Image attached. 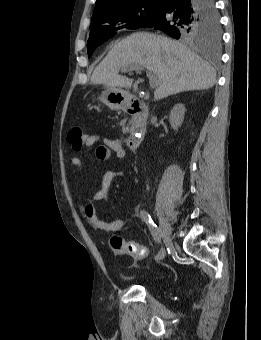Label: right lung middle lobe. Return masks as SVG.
<instances>
[{
	"label": "right lung middle lobe",
	"instance_id": "right-lung-middle-lobe-1",
	"mask_svg": "<svg viewBox=\"0 0 261 340\" xmlns=\"http://www.w3.org/2000/svg\"><path fill=\"white\" fill-rule=\"evenodd\" d=\"M163 0H145L117 8L90 25V36L87 42L90 57L97 46L113 37L119 29H140L159 12ZM221 27L218 13L201 16L198 13L187 18L179 27L178 38L188 41L213 40L218 42Z\"/></svg>",
	"mask_w": 261,
	"mask_h": 340
}]
</instances>
